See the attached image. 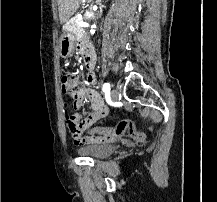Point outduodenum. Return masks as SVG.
Listing matches in <instances>:
<instances>
[{"label": "duodenum", "mask_w": 217, "mask_h": 202, "mask_svg": "<svg viewBox=\"0 0 217 202\" xmlns=\"http://www.w3.org/2000/svg\"><path fill=\"white\" fill-rule=\"evenodd\" d=\"M80 52H81L82 59L85 63V66L87 67L88 71L91 73L95 64V56L93 51L85 42H82Z\"/></svg>", "instance_id": "obj_1"}]
</instances>
